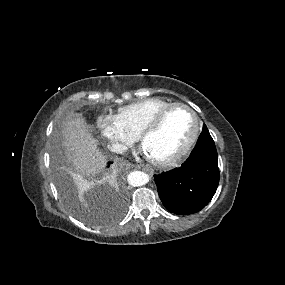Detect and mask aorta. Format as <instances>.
Masks as SVG:
<instances>
[{
    "instance_id": "762f6f07",
    "label": "aorta",
    "mask_w": 285,
    "mask_h": 285,
    "mask_svg": "<svg viewBox=\"0 0 285 285\" xmlns=\"http://www.w3.org/2000/svg\"><path fill=\"white\" fill-rule=\"evenodd\" d=\"M128 181L132 186H142L149 181V175L142 171H134L129 174Z\"/></svg>"
}]
</instances>
